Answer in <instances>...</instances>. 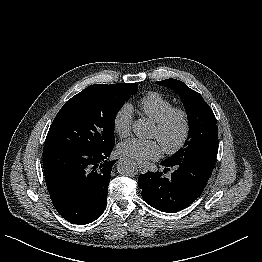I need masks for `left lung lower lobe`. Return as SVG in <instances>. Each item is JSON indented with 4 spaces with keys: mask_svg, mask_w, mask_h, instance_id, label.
<instances>
[{
    "mask_svg": "<svg viewBox=\"0 0 262 262\" xmlns=\"http://www.w3.org/2000/svg\"><path fill=\"white\" fill-rule=\"evenodd\" d=\"M164 173L173 168L171 176L162 172L141 174L138 185L143 199L155 209L175 213L188 207L203 192L215 166V161L178 160L161 162Z\"/></svg>",
    "mask_w": 262,
    "mask_h": 262,
    "instance_id": "1",
    "label": "left lung lower lobe"
}]
</instances>
